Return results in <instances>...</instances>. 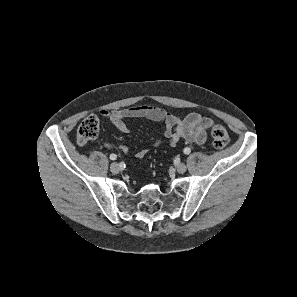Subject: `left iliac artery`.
I'll return each instance as SVG.
<instances>
[{
	"mask_svg": "<svg viewBox=\"0 0 297 297\" xmlns=\"http://www.w3.org/2000/svg\"><path fill=\"white\" fill-rule=\"evenodd\" d=\"M190 152H191L190 148H188V147L184 148V153L185 154H189Z\"/></svg>",
	"mask_w": 297,
	"mask_h": 297,
	"instance_id": "1",
	"label": "left iliac artery"
}]
</instances>
